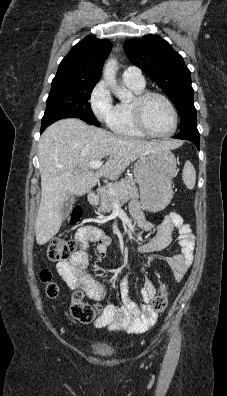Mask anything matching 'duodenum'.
Segmentation results:
<instances>
[{
	"label": "duodenum",
	"mask_w": 227,
	"mask_h": 396,
	"mask_svg": "<svg viewBox=\"0 0 227 396\" xmlns=\"http://www.w3.org/2000/svg\"><path fill=\"white\" fill-rule=\"evenodd\" d=\"M88 200L90 204L95 205L98 202V195L92 191L88 194Z\"/></svg>",
	"instance_id": "1"
}]
</instances>
